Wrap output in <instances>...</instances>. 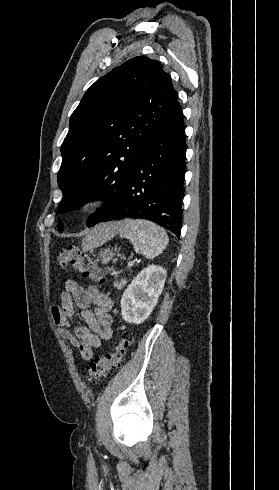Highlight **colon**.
I'll return each mask as SVG.
<instances>
[{
	"label": "colon",
	"mask_w": 279,
	"mask_h": 490,
	"mask_svg": "<svg viewBox=\"0 0 279 490\" xmlns=\"http://www.w3.org/2000/svg\"><path fill=\"white\" fill-rule=\"evenodd\" d=\"M57 262L60 266L75 268L83 277L95 283L103 281L105 277L98 263L75 244H70L63 249L57 256ZM130 344L131 338L124 335L116 341L111 353L103 357L92 358L86 366V381L94 383L99 377L107 375L112 369L118 367L127 354Z\"/></svg>",
	"instance_id": "5ec220e1"
}]
</instances>
